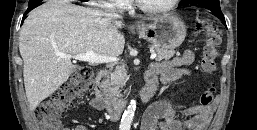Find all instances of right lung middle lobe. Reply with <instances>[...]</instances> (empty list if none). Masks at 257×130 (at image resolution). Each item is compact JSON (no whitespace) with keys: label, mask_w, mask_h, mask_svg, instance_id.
Masks as SVG:
<instances>
[{"label":"right lung middle lobe","mask_w":257,"mask_h":130,"mask_svg":"<svg viewBox=\"0 0 257 130\" xmlns=\"http://www.w3.org/2000/svg\"><path fill=\"white\" fill-rule=\"evenodd\" d=\"M35 1H36V0H35ZM33 2H34L33 0H30V1H29V4H32ZM37 2H39V1H37Z\"/></svg>","instance_id":"right-lung-middle-lobe-1"}]
</instances>
